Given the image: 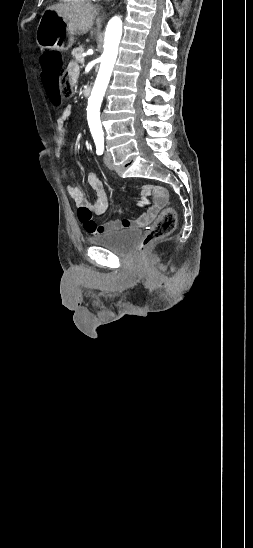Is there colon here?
Listing matches in <instances>:
<instances>
[{"mask_svg":"<svg viewBox=\"0 0 253 548\" xmlns=\"http://www.w3.org/2000/svg\"><path fill=\"white\" fill-rule=\"evenodd\" d=\"M43 72L41 81L47 97L55 105H66L73 92L70 76L62 71V61L56 53H45L40 58ZM176 227V214L172 208H165L140 240L138 251L146 250L155 241L171 234Z\"/></svg>","mask_w":253,"mask_h":548,"instance_id":"1","label":"colon"}]
</instances>
